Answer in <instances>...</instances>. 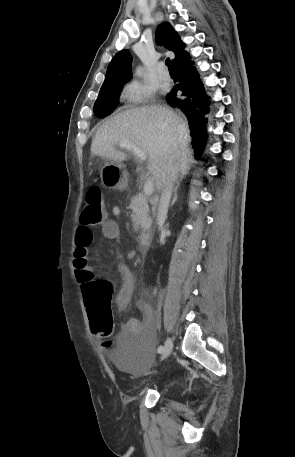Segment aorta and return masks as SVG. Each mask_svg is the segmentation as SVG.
I'll return each instance as SVG.
<instances>
[{
  "instance_id": "762f6f07",
  "label": "aorta",
  "mask_w": 295,
  "mask_h": 457,
  "mask_svg": "<svg viewBox=\"0 0 295 457\" xmlns=\"http://www.w3.org/2000/svg\"><path fill=\"white\" fill-rule=\"evenodd\" d=\"M143 74V68L142 67H138L136 69V75L139 77V76H142Z\"/></svg>"
}]
</instances>
